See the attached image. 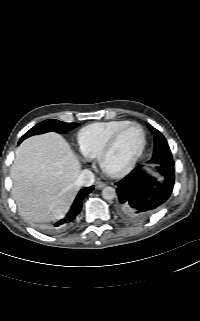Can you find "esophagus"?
<instances>
[{"instance_id":"obj_1","label":"esophagus","mask_w":200,"mask_h":321,"mask_svg":"<svg viewBox=\"0 0 200 321\" xmlns=\"http://www.w3.org/2000/svg\"><path fill=\"white\" fill-rule=\"evenodd\" d=\"M105 186H106V184L103 182H97V184H96L97 189H103Z\"/></svg>"}]
</instances>
